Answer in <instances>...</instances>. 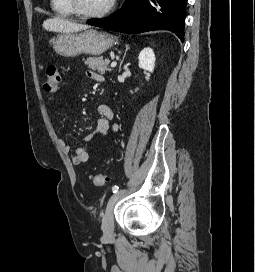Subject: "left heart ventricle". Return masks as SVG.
<instances>
[{"label":"left heart ventricle","mask_w":255,"mask_h":272,"mask_svg":"<svg viewBox=\"0 0 255 272\" xmlns=\"http://www.w3.org/2000/svg\"><path fill=\"white\" fill-rule=\"evenodd\" d=\"M79 6L86 12H99L107 7L110 0H78Z\"/></svg>","instance_id":"1"}]
</instances>
